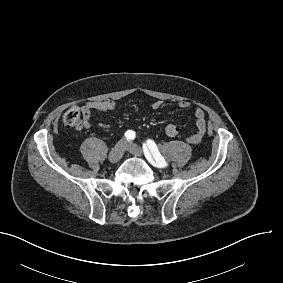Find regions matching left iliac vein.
<instances>
[{
  "instance_id": "1",
  "label": "left iliac vein",
  "mask_w": 283,
  "mask_h": 283,
  "mask_svg": "<svg viewBox=\"0 0 283 283\" xmlns=\"http://www.w3.org/2000/svg\"><path fill=\"white\" fill-rule=\"evenodd\" d=\"M125 150L129 151L130 153H132L135 156H143V150L141 147H139L138 145L132 143V142H127L125 144ZM155 167H157L156 162L154 161L153 164ZM159 168V167H158Z\"/></svg>"
}]
</instances>
